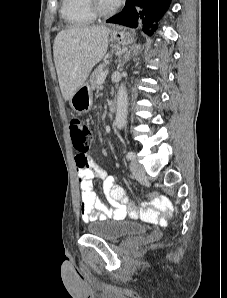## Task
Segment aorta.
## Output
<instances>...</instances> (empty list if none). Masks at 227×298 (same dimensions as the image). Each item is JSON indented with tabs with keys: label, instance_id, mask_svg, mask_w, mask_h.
Returning a JSON list of instances; mask_svg holds the SVG:
<instances>
[{
	"label": "aorta",
	"instance_id": "obj_1",
	"mask_svg": "<svg viewBox=\"0 0 227 298\" xmlns=\"http://www.w3.org/2000/svg\"><path fill=\"white\" fill-rule=\"evenodd\" d=\"M128 109V95L125 85L122 83L117 93V108L114 124L122 129L125 126Z\"/></svg>",
	"mask_w": 227,
	"mask_h": 298
}]
</instances>
